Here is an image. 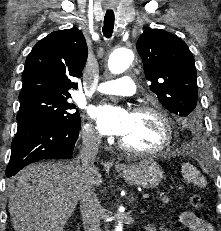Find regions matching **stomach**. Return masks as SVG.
<instances>
[{
	"label": "stomach",
	"mask_w": 221,
	"mask_h": 231,
	"mask_svg": "<svg viewBox=\"0 0 221 231\" xmlns=\"http://www.w3.org/2000/svg\"><path fill=\"white\" fill-rule=\"evenodd\" d=\"M117 172L128 183L145 189L155 188L163 179L162 168L151 159L117 167Z\"/></svg>",
	"instance_id": "stomach-1"
}]
</instances>
